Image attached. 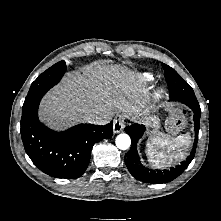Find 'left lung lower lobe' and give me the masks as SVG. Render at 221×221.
Wrapping results in <instances>:
<instances>
[{
	"instance_id": "1",
	"label": "left lung lower lobe",
	"mask_w": 221,
	"mask_h": 221,
	"mask_svg": "<svg viewBox=\"0 0 221 221\" xmlns=\"http://www.w3.org/2000/svg\"><path fill=\"white\" fill-rule=\"evenodd\" d=\"M170 99L172 101H178L184 103L194 112V130L195 140L193 150L186 161H183L181 165L170 170H152L143 166L140 162V158L137 153V142L143 136L145 127L143 125H131L125 128L132 139V147L130 151L125 155V163L132 174L137 180L147 183H167L178 177L193 160L197 141L198 132L200 125L201 109L196 99L193 89L183 79L177 80L169 86Z\"/></svg>"
}]
</instances>
